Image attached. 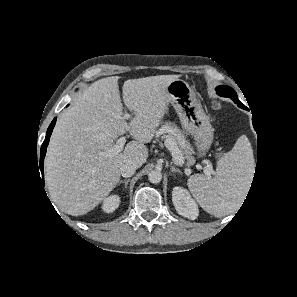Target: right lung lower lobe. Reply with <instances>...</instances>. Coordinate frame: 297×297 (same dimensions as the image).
Instances as JSON below:
<instances>
[{
  "label": "right lung lower lobe",
  "instance_id": "1",
  "mask_svg": "<svg viewBox=\"0 0 297 297\" xmlns=\"http://www.w3.org/2000/svg\"><path fill=\"white\" fill-rule=\"evenodd\" d=\"M56 119L57 118H54L53 121L51 122L50 126L48 127L45 140H44V142H43V144L41 146V150H40V161H39L38 168L40 169V172L42 174V181L43 182H44V171H43L44 157H45V154H46L47 145L49 143V138L51 136V133H52L53 128H54L55 123H56Z\"/></svg>",
  "mask_w": 297,
  "mask_h": 297
}]
</instances>
